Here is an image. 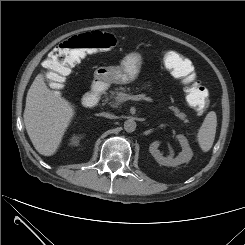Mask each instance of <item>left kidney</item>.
I'll list each match as a JSON object with an SVG mask.
<instances>
[{
	"mask_svg": "<svg viewBox=\"0 0 245 245\" xmlns=\"http://www.w3.org/2000/svg\"><path fill=\"white\" fill-rule=\"evenodd\" d=\"M176 138L182 146V152L176 158L164 157L158 149L160 145L159 141H154L150 144L149 152L160 165L176 167L180 164L188 163L191 160L193 152L188 144L187 138L182 134L177 135Z\"/></svg>",
	"mask_w": 245,
	"mask_h": 245,
	"instance_id": "1",
	"label": "left kidney"
}]
</instances>
